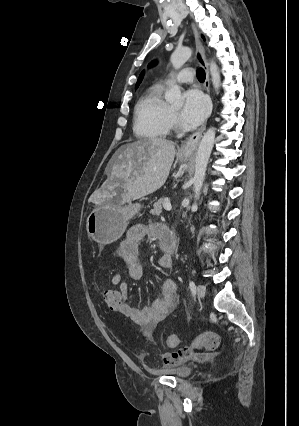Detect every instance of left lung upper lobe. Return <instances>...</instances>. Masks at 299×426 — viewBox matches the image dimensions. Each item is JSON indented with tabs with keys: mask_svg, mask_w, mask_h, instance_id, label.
<instances>
[{
	"mask_svg": "<svg viewBox=\"0 0 299 426\" xmlns=\"http://www.w3.org/2000/svg\"><path fill=\"white\" fill-rule=\"evenodd\" d=\"M154 64H155V62H152V63H151V66H153Z\"/></svg>",
	"mask_w": 299,
	"mask_h": 426,
	"instance_id": "1",
	"label": "left lung upper lobe"
}]
</instances>
